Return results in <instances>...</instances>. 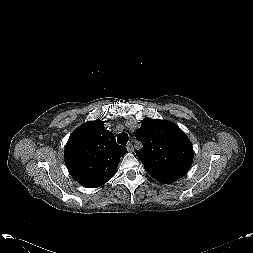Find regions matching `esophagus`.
Returning <instances> with one entry per match:
<instances>
[{"instance_id":"1","label":"esophagus","mask_w":253,"mask_h":253,"mask_svg":"<svg viewBox=\"0 0 253 253\" xmlns=\"http://www.w3.org/2000/svg\"><path fill=\"white\" fill-rule=\"evenodd\" d=\"M128 152H133L134 151V147L131 143H129L127 146H126Z\"/></svg>"}]
</instances>
